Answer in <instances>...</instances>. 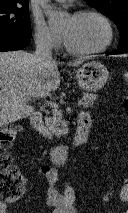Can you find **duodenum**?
I'll return each instance as SVG.
<instances>
[{"instance_id": "410a0bca", "label": "duodenum", "mask_w": 128, "mask_h": 213, "mask_svg": "<svg viewBox=\"0 0 128 213\" xmlns=\"http://www.w3.org/2000/svg\"><path fill=\"white\" fill-rule=\"evenodd\" d=\"M30 125L32 129L41 136H44V128L42 123V114L35 112L30 117ZM91 125L90 116L87 114H80L78 117V124L76 134L70 145L55 146L50 149V157L53 163L62 164L67 158L71 149L84 145L87 141L89 129Z\"/></svg>"}]
</instances>
